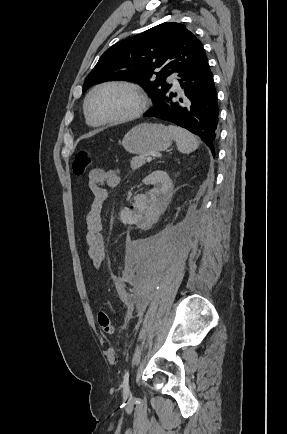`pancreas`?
I'll return each mask as SVG.
<instances>
[{"label":"pancreas","instance_id":"cf45deb5","mask_svg":"<svg viewBox=\"0 0 287 434\" xmlns=\"http://www.w3.org/2000/svg\"><path fill=\"white\" fill-rule=\"evenodd\" d=\"M144 163H145L144 155L133 157L131 160V169L132 170L139 169L142 165H144Z\"/></svg>","mask_w":287,"mask_h":434}]
</instances>
